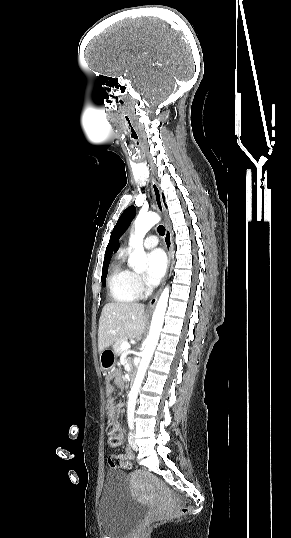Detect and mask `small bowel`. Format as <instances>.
Masks as SVG:
<instances>
[{"instance_id": "1", "label": "small bowel", "mask_w": 291, "mask_h": 538, "mask_svg": "<svg viewBox=\"0 0 291 538\" xmlns=\"http://www.w3.org/2000/svg\"><path fill=\"white\" fill-rule=\"evenodd\" d=\"M113 380L118 387L120 388L124 387V380L118 374L114 375ZM105 392H106V395L108 396L107 405H106L107 416L109 419L114 420L117 418V408L112 397L113 392H114V386L110 383H107ZM115 457L119 458L120 460H131L133 458V452L130 449V447H126L125 453L123 455L115 456ZM110 458L111 457H109L108 459L109 465L111 468H115L116 466L110 463Z\"/></svg>"}]
</instances>
